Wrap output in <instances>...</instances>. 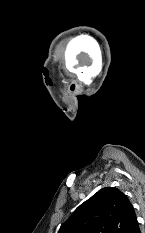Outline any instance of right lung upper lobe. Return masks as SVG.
I'll return each instance as SVG.
<instances>
[{
    "label": "right lung upper lobe",
    "mask_w": 145,
    "mask_h": 233,
    "mask_svg": "<svg viewBox=\"0 0 145 233\" xmlns=\"http://www.w3.org/2000/svg\"><path fill=\"white\" fill-rule=\"evenodd\" d=\"M137 217L128 197L105 187L82 203L58 233H131Z\"/></svg>",
    "instance_id": "right-lung-upper-lobe-1"
}]
</instances>
